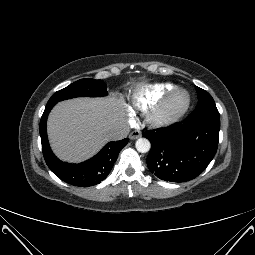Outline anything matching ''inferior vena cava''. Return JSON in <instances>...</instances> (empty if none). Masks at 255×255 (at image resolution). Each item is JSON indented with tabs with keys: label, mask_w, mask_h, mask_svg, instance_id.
Returning a JSON list of instances; mask_svg holds the SVG:
<instances>
[{
	"label": "inferior vena cava",
	"mask_w": 255,
	"mask_h": 255,
	"mask_svg": "<svg viewBox=\"0 0 255 255\" xmlns=\"http://www.w3.org/2000/svg\"><path fill=\"white\" fill-rule=\"evenodd\" d=\"M129 133V127L127 125H119L109 132V138L111 140L117 141L127 137Z\"/></svg>",
	"instance_id": "inferior-vena-cava-1"
}]
</instances>
